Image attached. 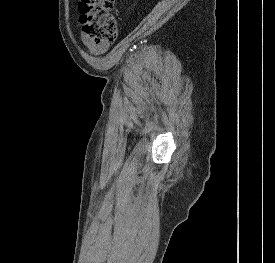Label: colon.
<instances>
[{
    "mask_svg": "<svg viewBox=\"0 0 275 263\" xmlns=\"http://www.w3.org/2000/svg\"><path fill=\"white\" fill-rule=\"evenodd\" d=\"M115 0H81L82 32L96 44H111L118 37V22L112 11Z\"/></svg>",
    "mask_w": 275,
    "mask_h": 263,
    "instance_id": "5ec220e1",
    "label": "colon"
}]
</instances>
